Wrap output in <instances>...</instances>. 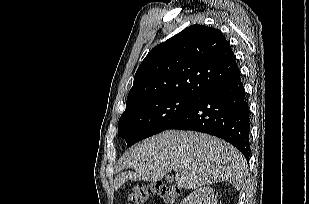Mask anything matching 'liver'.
<instances>
[{
	"label": "liver",
	"mask_w": 309,
	"mask_h": 204,
	"mask_svg": "<svg viewBox=\"0 0 309 204\" xmlns=\"http://www.w3.org/2000/svg\"><path fill=\"white\" fill-rule=\"evenodd\" d=\"M121 168L134 171L120 173L115 189L126 181L162 179L166 173L176 172V183L184 189L229 182L241 189L247 172L244 156L229 143L210 135L193 131H164L128 149Z\"/></svg>",
	"instance_id": "liver-1"
}]
</instances>
